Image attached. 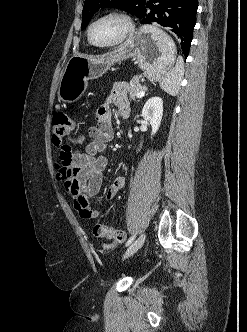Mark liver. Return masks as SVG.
Returning <instances> with one entry per match:
<instances>
[{
  "label": "liver",
  "mask_w": 247,
  "mask_h": 332,
  "mask_svg": "<svg viewBox=\"0 0 247 332\" xmlns=\"http://www.w3.org/2000/svg\"><path fill=\"white\" fill-rule=\"evenodd\" d=\"M80 57H83V58H86V59H101L103 58L104 56H101V57H94V56H86V55H79Z\"/></svg>",
  "instance_id": "liver-1"
}]
</instances>
